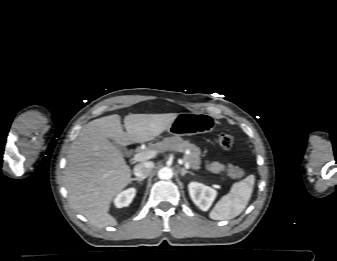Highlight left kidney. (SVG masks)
<instances>
[{"label":"left kidney","mask_w":337,"mask_h":261,"mask_svg":"<svg viewBox=\"0 0 337 261\" xmlns=\"http://www.w3.org/2000/svg\"><path fill=\"white\" fill-rule=\"evenodd\" d=\"M188 190L192 201L203 211L211 207L217 196L216 190L198 182H190Z\"/></svg>","instance_id":"obj_1"}]
</instances>
